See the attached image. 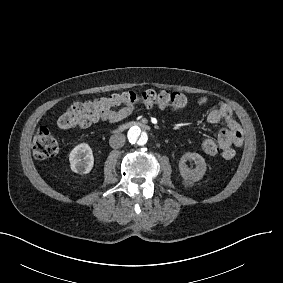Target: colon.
<instances>
[{"label": "colon", "mask_w": 283, "mask_h": 283, "mask_svg": "<svg viewBox=\"0 0 283 283\" xmlns=\"http://www.w3.org/2000/svg\"><path fill=\"white\" fill-rule=\"evenodd\" d=\"M139 102L146 106L174 108H183L189 104L188 98L182 93L155 90H146L141 94L124 92L71 105L60 117L58 126L63 129L80 128L94 123L110 111L118 113L126 109V112H130ZM32 148L36 158L44 160L56 153L58 142L51 130L43 128L35 133ZM201 149L206 154L214 155L220 147L212 138H203Z\"/></svg>", "instance_id": "obj_1"}]
</instances>
